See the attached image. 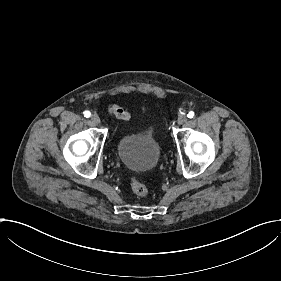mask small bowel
Returning a JSON list of instances; mask_svg holds the SVG:
<instances>
[{"label": "small bowel", "instance_id": "1", "mask_svg": "<svg viewBox=\"0 0 281 281\" xmlns=\"http://www.w3.org/2000/svg\"><path fill=\"white\" fill-rule=\"evenodd\" d=\"M108 114L110 117L120 120H129L130 114L127 111H124L116 104H110L108 108Z\"/></svg>", "mask_w": 281, "mask_h": 281}]
</instances>
